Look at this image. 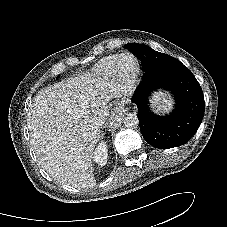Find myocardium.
Masks as SVG:
<instances>
[{"instance_id":"1","label":"myocardium","mask_w":227,"mask_h":227,"mask_svg":"<svg viewBox=\"0 0 227 227\" xmlns=\"http://www.w3.org/2000/svg\"><path fill=\"white\" fill-rule=\"evenodd\" d=\"M126 58H130L134 62V67L129 72L125 71L123 68V62ZM140 71H141V65H140V61L137 58V56H135L132 53H124L119 57V60L115 67L114 75L120 81H122L128 85H132V84L136 83V81L138 80V78L140 76Z\"/></svg>"}]
</instances>
